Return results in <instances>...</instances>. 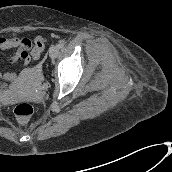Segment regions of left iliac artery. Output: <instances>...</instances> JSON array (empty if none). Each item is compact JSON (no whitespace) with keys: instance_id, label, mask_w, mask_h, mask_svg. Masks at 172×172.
Returning a JSON list of instances; mask_svg holds the SVG:
<instances>
[{"instance_id":"1","label":"left iliac artery","mask_w":172,"mask_h":172,"mask_svg":"<svg viewBox=\"0 0 172 172\" xmlns=\"http://www.w3.org/2000/svg\"><path fill=\"white\" fill-rule=\"evenodd\" d=\"M63 46H64V43L59 42V44H58V48H63Z\"/></svg>"}]
</instances>
